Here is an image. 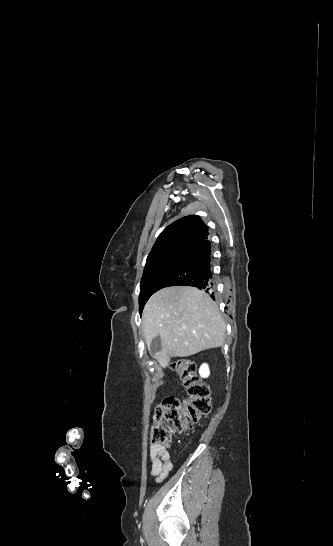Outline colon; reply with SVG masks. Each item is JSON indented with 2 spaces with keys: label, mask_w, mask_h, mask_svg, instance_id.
Returning a JSON list of instances; mask_svg holds the SVG:
<instances>
[{
  "label": "colon",
  "mask_w": 333,
  "mask_h": 546,
  "mask_svg": "<svg viewBox=\"0 0 333 546\" xmlns=\"http://www.w3.org/2000/svg\"><path fill=\"white\" fill-rule=\"evenodd\" d=\"M172 368L185 385L188 398L181 401L166 397L156 408L151 442L163 447L169 446L174 433L191 429L211 411L210 389L199 377L196 365L191 360L178 359Z\"/></svg>",
  "instance_id": "1"
}]
</instances>
